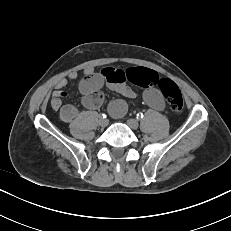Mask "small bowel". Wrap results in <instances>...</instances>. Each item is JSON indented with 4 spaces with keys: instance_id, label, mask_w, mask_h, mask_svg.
I'll return each mask as SVG.
<instances>
[{
    "instance_id": "small-bowel-1",
    "label": "small bowel",
    "mask_w": 231,
    "mask_h": 231,
    "mask_svg": "<svg viewBox=\"0 0 231 231\" xmlns=\"http://www.w3.org/2000/svg\"><path fill=\"white\" fill-rule=\"evenodd\" d=\"M124 70L103 68L95 71L87 67L83 71V78L79 83V90L82 94V104L89 110L98 109L104 101L102 87L107 86L111 90L119 93L127 99H135L136 93L128 86ZM78 78V73L73 71L61 78L55 84V89L51 97V107L54 111L59 112V117L64 123H70L78 115V109L72 104H62V99L67 97L64 90L70 82ZM144 102L151 108L163 110L165 101L162 93L155 88H147L142 94ZM112 116L118 118L125 114L126 105L122 101L113 102L109 106Z\"/></svg>"
}]
</instances>
